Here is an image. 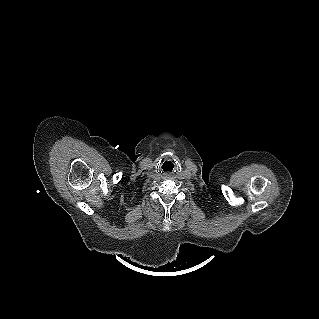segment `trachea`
<instances>
[{"mask_svg":"<svg viewBox=\"0 0 319 319\" xmlns=\"http://www.w3.org/2000/svg\"><path fill=\"white\" fill-rule=\"evenodd\" d=\"M162 168L165 172H171L174 168V165L171 161L164 162V164L162 165Z\"/></svg>","mask_w":319,"mask_h":319,"instance_id":"1","label":"trachea"}]
</instances>
